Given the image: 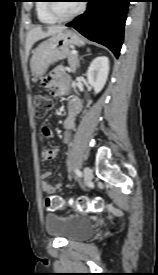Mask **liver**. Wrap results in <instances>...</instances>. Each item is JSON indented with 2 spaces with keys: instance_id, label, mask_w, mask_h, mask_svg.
I'll return each instance as SVG.
<instances>
[{
  "instance_id": "obj_1",
  "label": "liver",
  "mask_w": 158,
  "mask_h": 275,
  "mask_svg": "<svg viewBox=\"0 0 158 275\" xmlns=\"http://www.w3.org/2000/svg\"><path fill=\"white\" fill-rule=\"evenodd\" d=\"M65 30L64 26H48L42 27L37 26L32 28L26 38V53L29 55V52L32 46L39 40L44 39L49 36H53L57 33H60Z\"/></svg>"
}]
</instances>
